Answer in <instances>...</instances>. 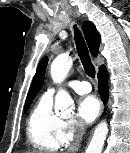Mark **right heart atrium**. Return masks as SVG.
<instances>
[{
	"mask_svg": "<svg viewBox=\"0 0 130 153\" xmlns=\"http://www.w3.org/2000/svg\"><path fill=\"white\" fill-rule=\"evenodd\" d=\"M83 130V125L75 119L64 120L62 122L60 139L63 144H67L78 137Z\"/></svg>",
	"mask_w": 130,
	"mask_h": 153,
	"instance_id": "1",
	"label": "right heart atrium"
}]
</instances>
